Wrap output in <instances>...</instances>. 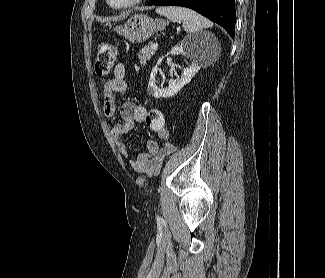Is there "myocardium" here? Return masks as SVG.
Instances as JSON below:
<instances>
[{
	"label": "myocardium",
	"mask_w": 325,
	"mask_h": 278,
	"mask_svg": "<svg viewBox=\"0 0 325 278\" xmlns=\"http://www.w3.org/2000/svg\"><path fill=\"white\" fill-rule=\"evenodd\" d=\"M142 1L143 0H130L124 4H121V5H114L111 3L110 0H106L109 7L116 9V10H122V9H128V8L134 7V6L138 5L139 3H141Z\"/></svg>",
	"instance_id": "1"
}]
</instances>
